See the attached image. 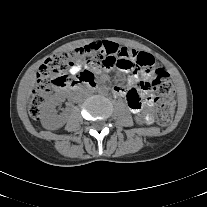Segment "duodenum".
<instances>
[{
	"mask_svg": "<svg viewBox=\"0 0 207 207\" xmlns=\"http://www.w3.org/2000/svg\"><path fill=\"white\" fill-rule=\"evenodd\" d=\"M71 86H74L75 90H79L82 87H91V88H93V87H95V83H94V81H82L80 83L71 84Z\"/></svg>",
	"mask_w": 207,
	"mask_h": 207,
	"instance_id": "1",
	"label": "duodenum"
}]
</instances>
